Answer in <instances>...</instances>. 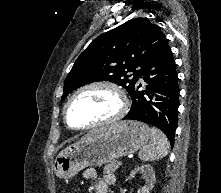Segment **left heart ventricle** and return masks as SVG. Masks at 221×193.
<instances>
[{
	"label": "left heart ventricle",
	"mask_w": 221,
	"mask_h": 193,
	"mask_svg": "<svg viewBox=\"0 0 221 193\" xmlns=\"http://www.w3.org/2000/svg\"><path fill=\"white\" fill-rule=\"evenodd\" d=\"M118 108L116 95L105 88L80 93L68 108V121L74 127H84L111 116Z\"/></svg>",
	"instance_id": "left-heart-ventricle-1"
}]
</instances>
